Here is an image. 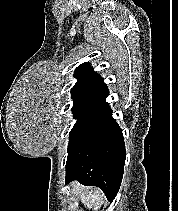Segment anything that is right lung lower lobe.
I'll use <instances>...</instances> for the list:
<instances>
[{
  "label": "right lung lower lobe",
  "mask_w": 178,
  "mask_h": 211,
  "mask_svg": "<svg viewBox=\"0 0 178 211\" xmlns=\"http://www.w3.org/2000/svg\"><path fill=\"white\" fill-rule=\"evenodd\" d=\"M125 156L122 130L104 99L70 135L65 183L77 180L100 187L112 201L121 184Z\"/></svg>",
  "instance_id": "98d812e1"
}]
</instances>
